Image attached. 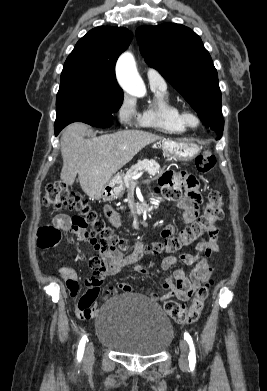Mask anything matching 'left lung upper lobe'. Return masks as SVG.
<instances>
[{"label": "left lung upper lobe", "instance_id": "obj_1", "mask_svg": "<svg viewBox=\"0 0 267 391\" xmlns=\"http://www.w3.org/2000/svg\"><path fill=\"white\" fill-rule=\"evenodd\" d=\"M136 38L146 63L185 98L219 139L224 120L218 74L200 37L186 26L165 23L139 27Z\"/></svg>", "mask_w": 267, "mask_h": 391}]
</instances>
